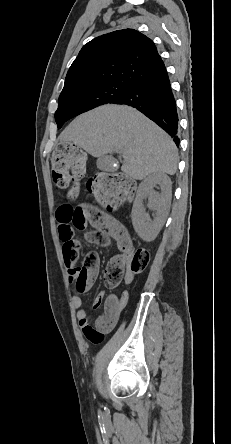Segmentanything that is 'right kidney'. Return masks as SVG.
I'll list each match as a JSON object with an SVG mask.
<instances>
[{"label":"right kidney","mask_w":231,"mask_h":444,"mask_svg":"<svg viewBox=\"0 0 231 444\" xmlns=\"http://www.w3.org/2000/svg\"><path fill=\"white\" fill-rule=\"evenodd\" d=\"M157 185L160 187L161 193L154 190ZM171 197L172 183L166 174H152L140 183L131 218L133 227L142 240L152 241L156 238L165 223ZM146 198H148V208L155 211L153 220L150 219L143 206V201Z\"/></svg>","instance_id":"right-kidney-1"}]
</instances>
